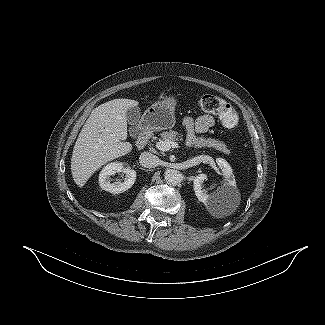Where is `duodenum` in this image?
Segmentation results:
<instances>
[{
	"mask_svg": "<svg viewBox=\"0 0 325 325\" xmlns=\"http://www.w3.org/2000/svg\"><path fill=\"white\" fill-rule=\"evenodd\" d=\"M149 137H150V134L148 132H146V131L141 132L136 140L138 147H144L146 145Z\"/></svg>",
	"mask_w": 325,
	"mask_h": 325,
	"instance_id": "obj_1",
	"label": "duodenum"
}]
</instances>
